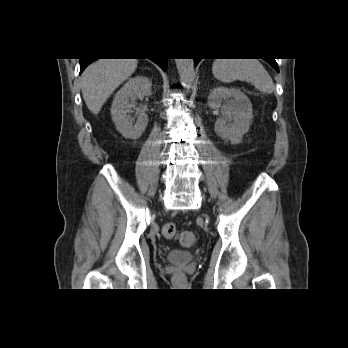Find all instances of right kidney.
<instances>
[{
	"label": "right kidney",
	"instance_id": "1",
	"mask_svg": "<svg viewBox=\"0 0 348 348\" xmlns=\"http://www.w3.org/2000/svg\"><path fill=\"white\" fill-rule=\"evenodd\" d=\"M151 82L147 77L130 78L116 93L111 116L117 130L128 139H138L148 124V116L144 111L139 112L136 123L131 120L130 113L138 97L151 95Z\"/></svg>",
	"mask_w": 348,
	"mask_h": 348
}]
</instances>
